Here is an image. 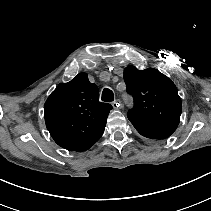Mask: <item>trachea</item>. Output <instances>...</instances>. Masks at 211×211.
Here are the masks:
<instances>
[{
	"label": "trachea",
	"instance_id": "obj_1",
	"mask_svg": "<svg viewBox=\"0 0 211 211\" xmlns=\"http://www.w3.org/2000/svg\"><path fill=\"white\" fill-rule=\"evenodd\" d=\"M102 101L105 102H112L114 100V94L112 92V90H110L109 88H105L102 92Z\"/></svg>",
	"mask_w": 211,
	"mask_h": 211
}]
</instances>
